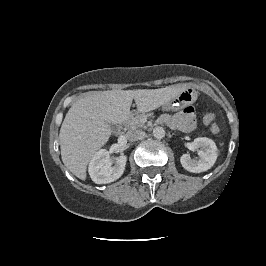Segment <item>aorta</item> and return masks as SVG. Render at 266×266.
<instances>
[{
  "label": "aorta",
  "instance_id": "762f6f07",
  "mask_svg": "<svg viewBox=\"0 0 266 266\" xmlns=\"http://www.w3.org/2000/svg\"><path fill=\"white\" fill-rule=\"evenodd\" d=\"M153 136L156 139H162L165 136V130L162 127H155L153 130Z\"/></svg>",
  "mask_w": 266,
  "mask_h": 266
}]
</instances>
